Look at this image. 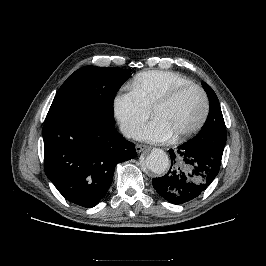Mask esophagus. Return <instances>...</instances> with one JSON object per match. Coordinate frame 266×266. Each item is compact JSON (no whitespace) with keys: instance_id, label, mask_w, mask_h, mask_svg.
I'll return each instance as SVG.
<instances>
[{"instance_id":"34e87169","label":"esophagus","mask_w":266,"mask_h":266,"mask_svg":"<svg viewBox=\"0 0 266 266\" xmlns=\"http://www.w3.org/2000/svg\"><path fill=\"white\" fill-rule=\"evenodd\" d=\"M148 148H149L148 146H146V145H142V144H137V145L135 146V149H136L137 153H140V152H142L143 150L148 149Z\"/></svg>"}]
</instances>
